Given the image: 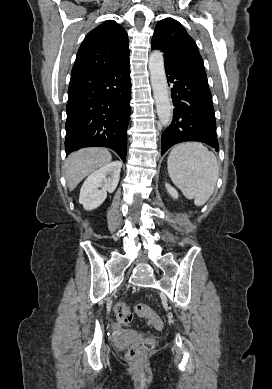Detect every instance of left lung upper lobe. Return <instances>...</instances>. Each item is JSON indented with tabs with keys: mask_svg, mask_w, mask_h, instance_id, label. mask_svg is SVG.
Instances as JSON below:
<instances>
[{
	"mask_svg": "<svg viewBox=\"0 0 272 389\" xmlns=\"http://www.w3.org/2000/svg\"><path fill=\"white\" fill-rule=\"evenodd\" d=\"M151 47L164 53L166 67L204 69V63L195 41L188 35L185 28L172 18L158 22Z\"/></svg>",
	"mask_w": 272,
	"mask_h": 389,
	"instance_id": "1",
	"label": "left lung upper lobe"
}]
</instances>
